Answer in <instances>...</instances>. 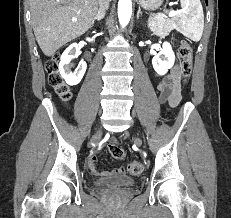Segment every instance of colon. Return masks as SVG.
<instances>
[{
	"mask_svg": "<svg viewBox=\"0 0 231 218\" xmlns=\"http://www.w3.org/2000/svg\"><path fill=\"white\" fill-rule=\"evenodd\" d=\"M192 47L188 41L183 40L179 46V56L181 59V73L185 81H187L192 73ZM46 70L48 72V79L51 86L54 87L59 96L67 101L71 97L69 87L63 82L62 77L58 72V56L53 57L46 63ZM108 151L115 159H123L124 149L116 144H109ZM127 171L131 175H139L142 170V164L138 161H131L126 165Z\"/></svg>",
	"mask_w": 231,
	"mask_h": 218,
	"instance_id": "5ec220e1",
	"label": "colon"
}]
</instances>
